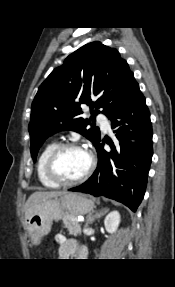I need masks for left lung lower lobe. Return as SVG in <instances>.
<instances>
[{"mask_svg": "<svg viewBox=\"0 0 175 287\" xmlns=\"http://www.w3.org/2000/svg\"><path fill=\"white\" fill-rule=\"evenodd\" d=\"M110 120L116 133L115 144L107 141L112 151H105L104 140H100L96 146L97 169L85 183L70 191L105 196L135 212L145 193L153 155L150 112L138 84Z\"/></svg>", "mask_w": 175, "mask_h": 287, "instance_id": "left-lung-lower-lobe-1", "label": "left lung lower lobe"}]
</instances>
